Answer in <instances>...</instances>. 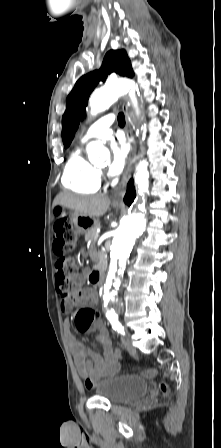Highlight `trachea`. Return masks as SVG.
Listing matches in <instances>:
<instances>
[{"label":"trachea","mask_w":221,"mask_h":448,"mask_svg":"<svg viewBox=\"0 0 221 448\" xmlns=\"http://www.w3.org/2000/svg\"><path fill=\"white\" fill-rule=\"evenodd\" d=\"M118 124L120 126H124L125 125V117L123 113H119L118 114Z\"/></svg>","instance_id":"obj_1"}]
</instances>
